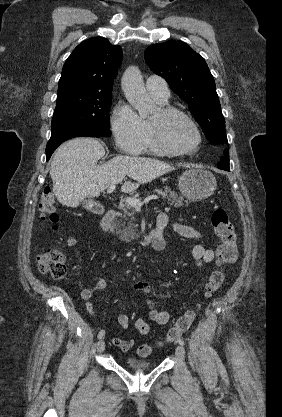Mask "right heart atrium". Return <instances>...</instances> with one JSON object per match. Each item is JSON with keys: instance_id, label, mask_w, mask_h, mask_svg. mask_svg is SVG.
I'll list each match as a JSON object with an SVG mask.
<instances>
[{"instance_id": "obj_1", "label": "right heart atrium", "mask_w": 282, "mask_h": 417, "mask_svg": "<svg viewBox=\"0 0 282 417\" xmlns=\"http://www.w3.org/2000/svg\"><path fill=\"white\" fill-rule=\"evenodd\" d=\"M117 147L127 154H139L146 147V122L127 104L119 102L111 117Z\"/></svg>"}]
</instances>
